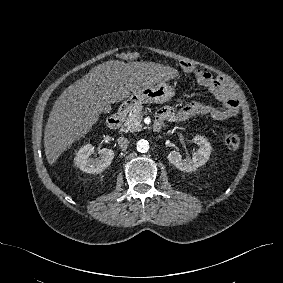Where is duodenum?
Returning <instances> with one entry per match:
<instances>
[{
    "mask_svg": "<svg viewBox=\"0 0 283 283\" xmlns=\"http://www.w3.org/2000/svg\"><path fill=\"white\" fill-rule=\"evenodd\" d=\"M125 107L126 106L123 105L122 107H120V109L116 113H114L108 118L107 124L109 128L116 129L121 125L122 120L124 118V114H125ZM162 123L163 121L161 120V118L156 116L154 123H153V129L156 131L160 130L162 127Z\"/></svg>",
    "mask_w": 283,
    "mask_h": 283,
    "instance_id": "duodenum-1",
    "label": "duodenum"
}]
</instances>
